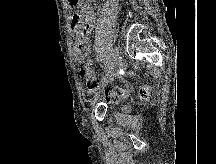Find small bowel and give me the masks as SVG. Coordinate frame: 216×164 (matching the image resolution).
Masks as SVG:
<instances>
[{"mask_svg":"<svg viewBox=\"0 0 216 164\" xmlns=\"http://www.w3.org/2000/svg\"><path fill=\"white\" fill-rule=\"evenodd\" d=\"M95 13L90 3L85 4L79 13L72 18L73 35L75 39L74 56L75 59L94 70V62L88 58L91 53V44L88 35L91 33L95 23Z\"/></svg>","mask_w":216,"mask_h":164,"instance_id":"obj_1","label":"small bowel"}]
</instances>
